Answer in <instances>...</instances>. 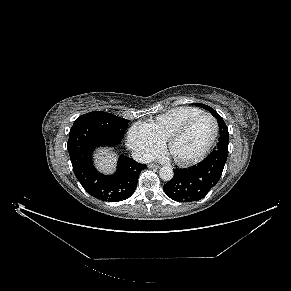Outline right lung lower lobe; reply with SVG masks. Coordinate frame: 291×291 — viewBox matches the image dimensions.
Returning <instances> with one entry per match:
<instances>
[{"label":"right lung lower lobe","instance_id":"right-lung-lower-lobe-1","mask_svg":"<svg viewBox=\"0 0 291 291\" xmlns=\"http://www.w3.org/2000/svg\"><path fill=\"white\" fill-rule=\"evenodd\" d=\"M120 141L91 125L70 129L67 148L74 173L83 188L97 199L117 202L129 198L136 190L141 171L147 168L121 156L114 174L98 172L93 164V151L100 146H115Z\"/></svg>","mask_w":291,"mask_h":291}]
</instances>
